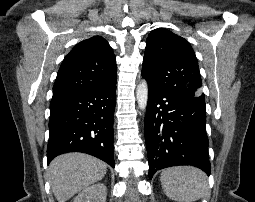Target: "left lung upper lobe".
Segmentation results:
<instances>
[{
    "instance_id": "obj_1",
    "label": "left lung upper lobe",
    "mask_w": 255,
    "mask_h": 202,
    "mask_svg": "<svg viewBox=\"0 0 255 202\" xmlns=\"http://www.w3.org/2000/svg\"><path fill=\"white\" fill-rule=\"evenodd\" d=\"M142 76L166 92L204 100L201 75L191 45L169 30H153L146 43Z\"/></svg>"
}]
</instances>
